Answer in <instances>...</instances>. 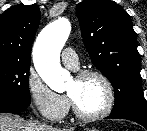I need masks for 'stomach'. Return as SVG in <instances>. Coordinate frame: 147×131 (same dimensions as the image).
Returning a JSON list of instances; mask_svg holds the SVG:
<instances>
[{
    "instance_id": "stomach-1",
    "label": "stomach",
    "mask_w": 147,
    "mask_h": 131,
    "mask_svg": "<svg viewBox=\"0 0 147 131\" xmlns=\"http://www.w3.org/2000/svg\"><path fill=\"white\" fill-rule=\"evenodd\" d=\"M83 131H98L97 129L95 128H92V129H89V128H84Z\"/></svg>"
}]
</instances>
